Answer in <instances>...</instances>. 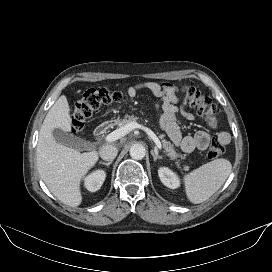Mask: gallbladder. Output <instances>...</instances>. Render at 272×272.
Returning <instances> with one entry per match:
<instances>
[{"label": "gallbladder", "mask_w": 272, "mask_h": 272, "mask_svg": "<svg viewBox=\"0 0 272 272\" xmlns=\"http://www.w3.org/2000/svg\"><path fill=\"white\" fill-rule=\"evenodd\" d=\"M52 134L54 139L60 144L72 147L79 151L86 149L87 141L84 139L69 134L58 128L54 129Z\"/></svg>", "instance_id": "obj_1"}]
</instances>
